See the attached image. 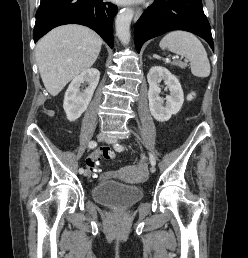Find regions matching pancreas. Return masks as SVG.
Segmentation results:
<instances>
[{
    "mask_svg": "<svg viewBox=\"0 0 248 258\" xmlns=\"http://www.w3.org/2000/svg\"><path fill=\"white\" fill-rule=\"evenodd\" d=\"M172 65H176V66H179V67H183V63L179 62V61H174L171 63Z\"/></svg>",
    "mask_w": 248,
    "mask_h": 258,
    "instance_id": "cf45deb5",
    "label": "pancreas"
}]
</instances>
